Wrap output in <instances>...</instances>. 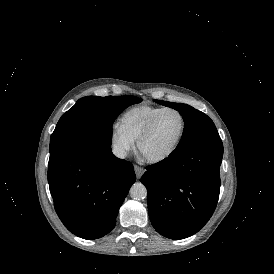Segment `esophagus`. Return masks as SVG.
Instances as JSON below:
<instances>
[{
  "label": "esophagus",
  "mask_w": 274,
  "mask_h": 274,
  "mask_svg": "<svg viewBox=\"0 0 274 274\" xmlns=\"http://www.w3.org/2000/svg\"><path fill=\"white\" fill-rule=\"evenodd\" d=\"M134 170H135V174H136L137 178H141V176L145 172V169L138 165H134Z\"/></svg>",
  "instance_id": "obj_1"
}]
</instances>
